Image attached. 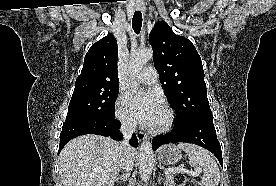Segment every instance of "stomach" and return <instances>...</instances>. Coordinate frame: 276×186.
Here are the masks:
<instances>
[{"instance_id": "1", "label": "stomach", "mask_w": 276, "mask_h": 186, "mask_svg": "<svg viewBox=\"0 0 276 186\" xmlns=\"http://www.w3.org/2000/svg\"><path fill=\"white\" fill-rule=\"evenodd\" d=\"M181 158V151L173 144L164 145L158 152V159L164 165H175Z\"/></svg>"}]
</instances>
